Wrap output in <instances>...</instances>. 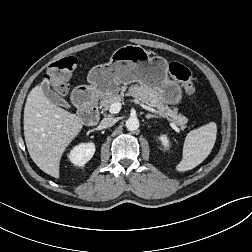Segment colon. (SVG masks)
Returning a JSON list of instances; mask_svg holds the SVG:
<instances>
[{"label": "colon", "mask_w": 252, "mask_h": 252, "mask_svg": "<svg viewBox=\"0 0 252 252\" xmlns=\"http://www.w3.org/2000/svg\"><path fill=\"white\" fill-rule=\"evenodd\" d=\"M77 60L74 57H66L53 63L45 75V81L60 95L68 90L67 77L75 68ZM170 75L180 83L191 101H195V86L190 70L181 63L172 62L169 65Z\"/></svg>", "instance_id": "1"}]
</instances>
